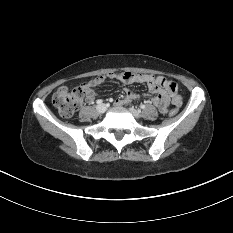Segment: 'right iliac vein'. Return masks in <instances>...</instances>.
Masks as SVG:
<instances>
[{"instance_id":"63e3f726","label":"right iliac vein","mask_w":233,"mask_h":233,"mask_svg":"<svg viewBox=\"0 0 233 233\" xmlns=\"http://www.w3.org/2000/svg\"><path fill=\"white\" fill-rule=\"evenodd\" d=\"M107 107L105 104H99L97 105L96 107V110L99 112V113H104L106 111Z\"/></svg>"}]
</instances>
